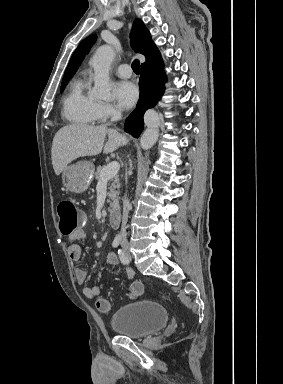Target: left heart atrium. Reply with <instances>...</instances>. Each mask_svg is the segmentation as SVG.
Segmentation results:
<instances>
[{"instance_id": "39dd6f15", "label": "left heart atrium", "mask_w": 283, "mask_h": 384, "mask_svg": "<svg viewBox=\"0 0 283 384\" xmlns=\"http://www.w3.org/2000/svg\"><path fill=\"white\" fill-rule=\"evenodd\" d=\"M114 95L122 108L129 109L138 100V89L131 82L120 81L114 84Z\"/></svg>"}]
</instances>
